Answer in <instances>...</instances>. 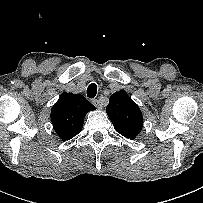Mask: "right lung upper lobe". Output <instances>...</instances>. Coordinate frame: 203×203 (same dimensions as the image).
<instances>
[{
    "label": "right lung upper lobe",
    "mask_w": 203,
    "mask_h": 203,
    "mask_svg": "<svg viewBox=\"0 0 203 203\" xmlns=\"http://www.w3.org/2000/svg\"><path fill=\"white\" fill-rule=\"evenodd\" d=\"M95 107L80 94L63 92L51 110V122L62 140L81 132L85 115Z\"/></svg>",
    "instance_id": "cb5924a9"
}]
</instances>
